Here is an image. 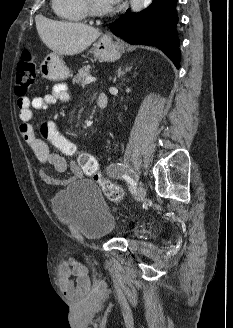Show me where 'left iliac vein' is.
<instances>
[{
	"mask_svg": "<svg viewBox=\"0 0 233 328\" xmlns=\"http://www.w3.org/2000/svg\"><path fill=\"white\" fill-rule=\"evenodd\" d=\"M133 178H134L135 181L137 180L135 175H133ZM145 195H146L145 188L143 186H141V185L138 186L137 191H136V199H137V201H139V202L143 201L144 198H145Z\"/></svg>",
	"mask_w": 233,
	"mask_h": 328,
	"instance_id": "1",
	"label": "left iliac vein"
}]
</instances>
